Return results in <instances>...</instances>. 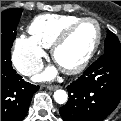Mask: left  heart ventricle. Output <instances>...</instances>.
<instances>
[{
	"label": "left heart ventricle",
	"mask_w": 121,
	"mask_h": 121,
	"mask_svg": "<svg viewBox=\"0 0 121 121\" xmlns=\"http://www.w3.org/2000/svg\"><path fill=\"white\" fill-rule=\"evenodd\" d=\"M96 38L97 29L95 24L92 22L82 23L58 49L56 63L61 68H70L77 65L91 50Z\"/></svg>",
	"instance_id": "b2bd125f"
}]
</instances>
